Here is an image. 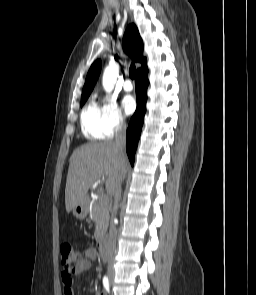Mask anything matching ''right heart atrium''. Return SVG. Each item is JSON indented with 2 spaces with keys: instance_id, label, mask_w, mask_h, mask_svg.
Wrapping results in <instances>:
<instances>
[{
  "instance_id": "d8ad5b80",
  "label": "right heart atrium",
  "mask_w": 256,
  "mask_h": 295,
  "mask_svg": "<svg viewBox=\"0 0 256 295\" xmlns=\"http://www.w3.org/2000/svg\"><path fill=\"white\" fill-rule=\"evenodd\" d=\"M102 112L104 125L109 136H113L125 128V117L116 102L105 98L102 104Z\"/></svg>"
}]
</instances>
